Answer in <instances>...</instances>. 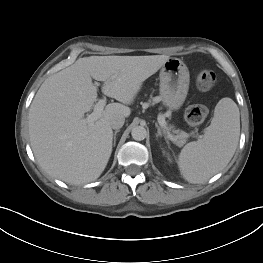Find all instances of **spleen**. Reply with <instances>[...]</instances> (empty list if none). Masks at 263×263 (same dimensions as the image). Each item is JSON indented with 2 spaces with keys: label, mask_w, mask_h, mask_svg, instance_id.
Masks as SVG:
<instances>
[{
  "label": "spleen",
  "mask_w": 263,
  "mask_h": 263,
  "mask_svg": "<svg viewBox=\"0 0 263 263\" xmlns=\"http://www.w3.org/2000/svg\"><path fill=\"white\" fill-rule=\"evenodd\" d=\"M239 135V109L232 99L222 98L203 139L186 144L180 152L183 177L190 183H202L222 170L235 153Z\"/></svg>",
  "instance_id": "obj_1"
}]
</instances>
